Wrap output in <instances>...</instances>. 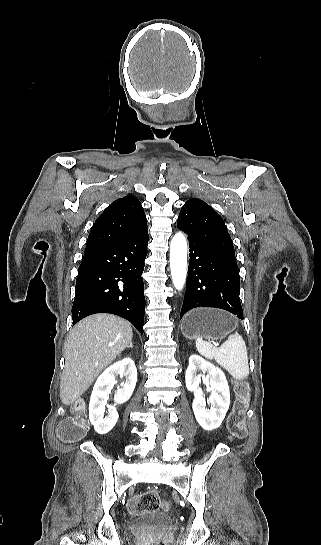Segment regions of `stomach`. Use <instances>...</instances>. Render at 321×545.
<instances>
[{
	"label": "stomach",
	"instance_id": "0dacf381",
	"mask_svg": "<svg viewBox=\"0 0 321 545\" xmlns=\"http://www.w3.org/2000/svg\"><path fill=\"white\" fill-rule=\"evenodd\" d=\"M237 327L235 317L220 309H193L182 319L181 333L187 339H224Z\"/></svg>",
	"mask_w": 321,
	"mask_h": 545
}]
</instances>
